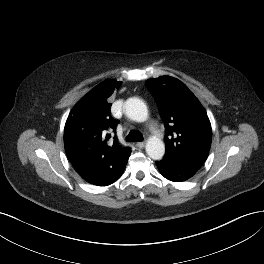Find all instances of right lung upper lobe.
Returning <instances> with one entry per match:
<instances>
[{
	"label": "right lung upper lobe",
	"instance_id": "right-lung-upper-lobe-1",
	"mask_svg": "<svg viewBox=\"0 0 264 264\" xmlns=\"http://www.w3.org/2000/svg\"><path fill=\"white\" fill-rule=\"evenodd\" d=\"M121 82L107 80L95 86L71 110L64 128V146L72 165L103 162L120 166L130 149L119 146L116 138L108 144L117 121L110 114V96Z\"/></svg>",
	"mask_w": 264,
	"mask_h": 264
}]
</instances>
